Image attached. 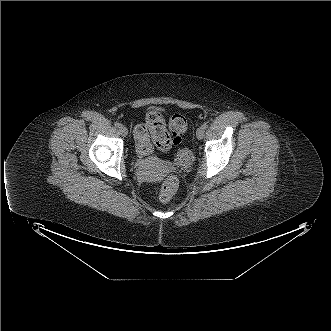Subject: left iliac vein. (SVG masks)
Listing matches in <instances>:
<instances>
[{"label":"left iliac vein","instance_id":"1","mask_svg":"<svg viewBox=\"0 0 331 331\" xmlns=\"http://www.w3.org/2000/svg\"><path fill=\"white\" fill-rule=\"evenodd\" d=\"M205 130L202 127H199L196 131V137L201 140L204 137Z\"/></svg>","mask_w":331,"mask_h":331}]
</instances>
